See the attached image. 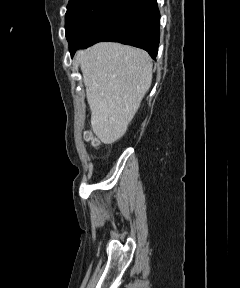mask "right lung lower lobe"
Returning <instances> with one entry per match:
<instances>
[{
    "label": "right lung lower lobe",
    "instance_id": "1",
    "mask_svg": "<svg viewBox=\"0 0 240 288\" xmlns=\"http://www.w3.org/2000/svg\"><path fill=\"white\" fill-rule=\"evenodd\" d=\"M159 26L156 0H118L83 41L69 46V50L73 57L77 49L100 41H113L142 48L155 58L159 46Z\"/></svg>",
    "mask_w": 240,
    "mask_h": 288
}]
</instances>
